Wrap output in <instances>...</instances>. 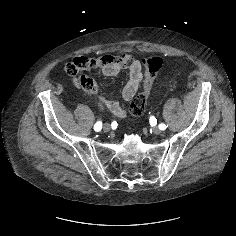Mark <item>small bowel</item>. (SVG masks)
<instances>
[{"label": "small bowel", "mask_w": 236, "mask_h": 236, "mask_svg": "<svg viewBox=\"0 0 236 236\" xmlns=\"http://www.w3.org/2000/svg\"><path fill=\"white\" fill-rule=\"evenodd\" d=\"M73 61H84L88 63V68L84 71L91 69H100L103 75L112 77L119 74L122 70H128L129 80L125 85L122 95L127 101L131 100L140 88L143 75L142 66L139 60L133 58L130 54L123 53L119 56L104 54L97 58H89L86 56H78ZM71 61V62H73ZM73 83L78 88L89 90V92L98 94V85L90 78L83 79L80 74L70 75ZM100 100L107 106L108 110L116 116H123L124 112L118 103L114 101H107L100 97Z\"/></svg>", "instance_id": "c3829d8e"}]
</instances>
